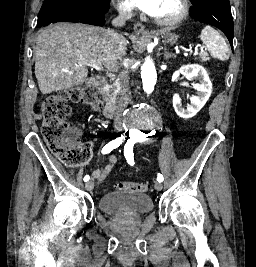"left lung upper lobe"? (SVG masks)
<instances>
[{"label": "left lung upper lobe", "mask_w": 256, "mask_h": 267, "mask_svg": "<svg viewBox=\"0 0 256 267\" xmlns=\"http://www.w3.org/2000/svg\"><path fill=\"white\" fill-rule=\"evenodd\" d=\"M192 15L197 20L216 26L224 32L233 47V19L229 0H191Z\"/></svg>", "instance_id": "obj_1"}]
</instances>
